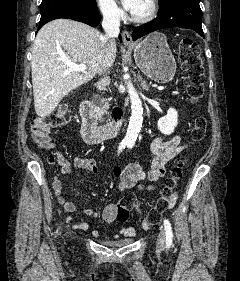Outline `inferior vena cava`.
<instances>
[{"instance_id":"1","label":"inferior vena cava","mask_w":240,"mask_h":281,"mask_svg":"<svg viewBox=\"0 0 240 281\" xmlns=\"http://www.w3.org/2000/svg\"><path fill=\"white\" fill-rule=\"evenodd\" d=\"M102 14H103L102 27L105 31V34L102 36L103 49L100 52V59L106 60L107 50L105 49V47L108 43L115 42L114 38L119 35L120 17L117 8L114 5L103 7ZM110 67H111L110 65H107L106 69H103L98 73L101 74L103 72H106L109 74Z\"/></svg>"}]
</instances>
